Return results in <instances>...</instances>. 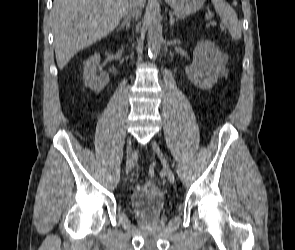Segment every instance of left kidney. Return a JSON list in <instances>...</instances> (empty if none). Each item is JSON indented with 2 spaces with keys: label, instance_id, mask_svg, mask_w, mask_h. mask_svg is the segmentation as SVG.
Here are the masks:
<instances>
[{
  "label": "left kidney",
  "instance_id": "obj_1",
  "mask_svg": "<svg viewBox=\"0 0 295 250\" xmlns=\"http://www.w3.org/2000/svg\"><path fill=\"white\" fill-rule=\"evenodd\" d=\"M226 56L209 41H199L193 51V62L185 67L188 79L202 90L212 88L224 71Z\"/></svg>",
  "mask_w": 295,
  "mask_h": 250
}]
</instances>
